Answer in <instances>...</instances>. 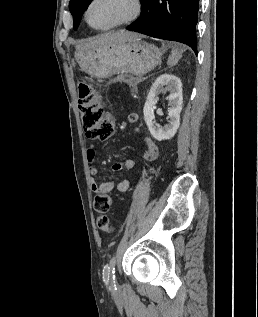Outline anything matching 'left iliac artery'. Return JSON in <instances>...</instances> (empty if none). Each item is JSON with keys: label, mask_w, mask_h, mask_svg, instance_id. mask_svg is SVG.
I'll list each match as a JSON object with an SVG mask.
<instances>
[{"label": "left iliac artery", "mask_w": 258, "mask_h": 317, "mask_svg": "<svg viewBox=\"0 0 258 317\" xmlns=\"http://www.w3.org/2000/svg\"><path fill=\"white\" fill-rule=\"evenodd\" d=\"M109 264H110L112 280L114 282V288L113 289L116 291L117 287H116V284H115V280H116V277H115L116 256L115 255L112 256V258L110 259Z\"/></svg>", "instance_id": "44dca946"}]
</instances>
